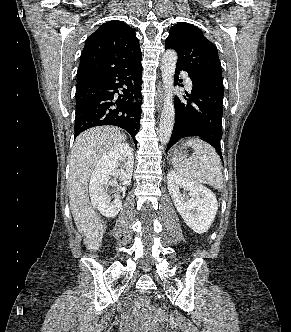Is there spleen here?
<instances>
[{"mask_svg":"<svg viewBox=\"0 0 291 332\" xmlns=\"http://www.w3.org/2000/svg\"><path fill=\"white\" fill-rule=\"evenodd\" d=\"M185 145L192 147L194 153L186 158H172V165L177 173L194 183L209 184L217 189L223 188L221 160L215 149L198 138L187 140Z\"/></svg>","mask_w":291,"mask_h":332,"instance_id":"spleen-1","label":"spleen"}]
</instances>
